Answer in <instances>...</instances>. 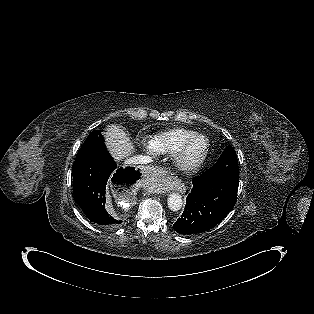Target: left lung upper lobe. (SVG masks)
<instances>
[{
    "mask_svg": "<svg viewBox=\"0 0 314 314\" xmlns=\"http://www.w3.org/2000/svg\"><path fill=\"white\" fill-rule=\"evenodd\" d=\"M203 174L239 176L237 156L233 147L227 146L218 161Z\"/></svg>",
    "mask_w": 314,
    "mask_h": 314,
    "instance_id": "1",
    "label": "left lung upper lobe"
}]
</instances>
